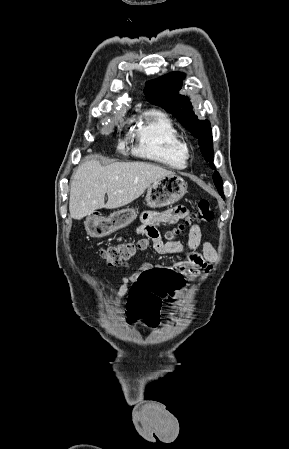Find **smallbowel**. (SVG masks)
<instances>
[{
    "mask_svg": "<svg viewBox=\"0 0 289 449\" xmlns=\"http://www.w3.org/2000/svg\"><path fill=\"white\" fill-rule=\"evenodd\" d=\"M187 210L183 206H178L160 213L144 212L140 216L141 224L137 228V233L146 236L151 242L154 251L159 255L172 256L176 254H184L182 259H174L171 268L181 272L183 280H193L199 277L202 272L210 269V264L215 262L217 258L214 247L209 242L202 241V235L199 227L193 225L189 231V239L186 246L179 242H166L161 240L157 226L168 225L180 219H183ZM127 267V263L121 264ZM144 268H160L152 264H144L138 268L136 272L130 276L123 277L117 292L116 303L118 304L122 298L133 289L134 282L137 281L140 271Z\"/></svg>",
    "mask_w": 289,
    "mask_h": 449,
    "instance_id": "1",
    "label": "small bowel"
}]
</instances>
